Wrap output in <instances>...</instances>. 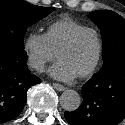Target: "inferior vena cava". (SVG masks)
Instances as JSON below:
<instances>
[{
    "label": "inferior vena cava",
    "instance_id": "inferior-vena-cava-1",
    "mask_svg": "<svg viewBox=\"0 0 125 125\" xmlns=\"http://www.w3.org/2000/svg\"><path fill=\"white\" fill-rule=\"evenodd\" d=\"M33 67H35L37 70H41L42 69V65L41 64H33Z\"/></svg>",
    "mask_w": 125,
    "mask_h": 125
}]
</instances>
